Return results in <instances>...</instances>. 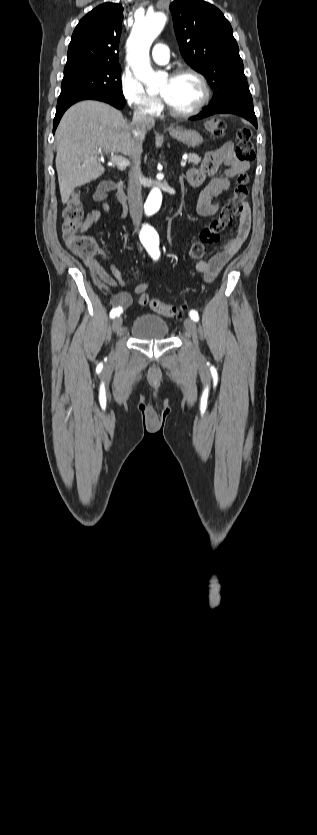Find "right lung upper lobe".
Masks as SVG:
<instances>
[{
	"mask_svg": "<svg viewBox=\"0 0 317 835\" xmlns=\"http://www.w3.org/2000/svg\"><path fill=\"white\" fill-rule=\"evenodd\" d=\"M123 7L104 3L76 26L68 48L67 63L118 64V44Z\"/></svg>",
	"mask_w": 317,
	"mask_h": 835,
	"instance_id": "1",
	"label": "right lung upper lobe"
}]
</instances>
